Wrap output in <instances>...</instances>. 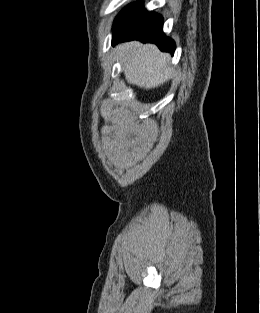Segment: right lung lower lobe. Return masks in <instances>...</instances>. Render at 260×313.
I'll return each mask as SVG.
<instances>
[{
    "mask_svg": "<svg viewBox=\"0 0 260 313\" xmlns=\"http://www.w3.org/2000/svg\"><path fill=\"white\" fill-rule=\"evenodd\" d=\"M113 27V44L136 39L143 43H155L161 51L174 53L175 42L163 33V18L142 8L141 2L125 7Z\"/></svg>",
    "mask_w": 260,
    "mask_h": 313,
    "instance_id": "right-lung-lower-lobe-1",
    "label": "right lung lower lobe"
}]
</instances>
